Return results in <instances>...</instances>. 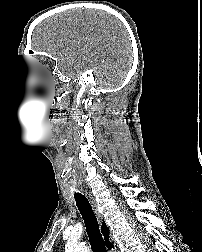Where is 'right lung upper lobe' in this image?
<instances>
[{
    "label": "right lung upper lobe",
    "mask_w": 202,
    "mask_h": 252,
    "mask_svg": "<svg viewBox=\"0 0 202 252\" xmlns=\"http://www.w3.org/2000/svg\"><path fill=\"white\" fill-rule=\"evenodd\" d=\"M101 228H102V234L104 235L106 246L109 247V248L113 247L111 245V243L109 242V229L107 228L105 222L102 223Z\"/></svg>",
    "instance_id": "right-lung-upper-lobe-1"
}]
</instances>
